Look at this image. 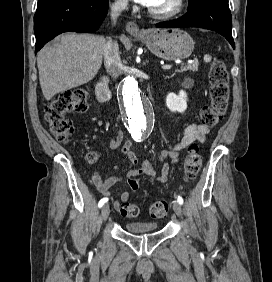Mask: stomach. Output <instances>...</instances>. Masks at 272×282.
<instances>
[{
  "label": "stomach",
  "instance_id": "1",
  "mask_svg": "<svg viewBox=\"0 0 272 282\" xmlns=\"http://www.w3.org/2000/svg\"><path fill=\"white\" fill-rule=\"evenodd\" d=\"M139 37L154 55L165 60L187 58L194 50L193 39L180 29H148Z\"/></svg>",
  "mask_w": 272,
  "mask_h": 282
}]
</instances>
